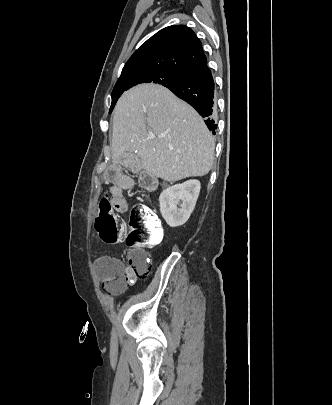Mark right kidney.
I'll return each mask as SVG.
<instances>
[{
    "mask_svg": "<svg viewBox=\"0 0 332 405\" xmlns=\"http://www.w3.org/2000/svg\"><path fill=\"white\" fill-rule=\"evenodd\" d=\"M200 188L198 180H188L163 190L159 197L160 212L170 227L187 222L195 208Z\"/></svg>",
    "mask_w": 332,
    "mask_h": 405,
    "instance_id": "ca27d5eb",
    "label": "right kidney"
}]
</instances>
